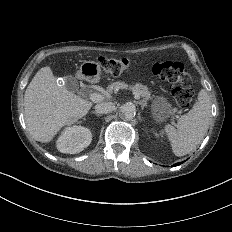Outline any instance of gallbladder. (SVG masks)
<instances>
[{"instance_id": "bac80fb5", "label": "gallbladder", "mask_w": 232, "mask_h": 232, "mask_svg": "<svg viewBox=\"0 0 232 232\" xmlns=\"http://www.w3.org/2000/svg\"><path fill=\"white\" fill-rule=\"evenodd\" d=\"M64 87L72 92L77 93L79 91V84L75 77L73 76H65L63 77Z\"/></svg>"}]
</instances>
